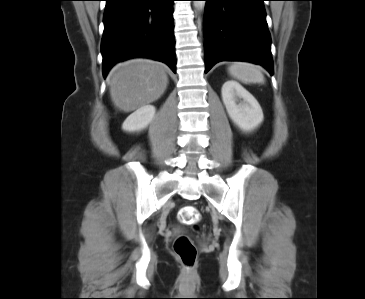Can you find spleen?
<instances>
[{
  "mask_svg": "<svg viewBox=\"0 0 365 299\" xmlns=\"http://www.w3.org/2000/svg\"><path fill=\"white\" fill-rule=\"evenodd\" d=\"M229 74L242 83H264L265 78L259 68L251 63L234 62L228 67Z\"/></svg>",
  "mask_w": 365,
  "mask_h": 299,
  "instance_id": "obj_1",
  "label": "spleen"
}]
</instances>
